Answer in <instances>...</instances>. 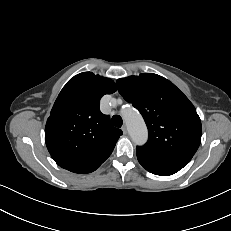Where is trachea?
<instances>
[{"instance_id":"1","label":"trachea","mask_w":231,"mask_h":231,"mask_svg":"<svg viewBox=\"0 0 231 231\" xmlns=\"http://www.w3.org/2000/svg\"><path fill=\"white\" fill-rule=\"evenodd\" d=\"M112 123H113L116 127L120 128V127L122 126V124H123V121H122V118H121L119 115H114V116L112 117Z\"/></svg>"}]
</instances>
